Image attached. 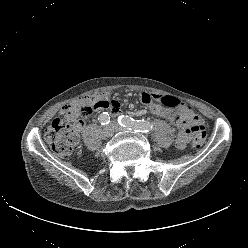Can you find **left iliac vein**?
I'll use <instances>...</instances> for the list:
<instances>
[{
	"label": "left iliac vein",
	"instance_id": "left-iliac-vein-1",
	"mask_svg": "<svg viewBox=\"0 0 248 248\" xmlns=\"http://www.w3.org/2000/svg\"><path fill=\"white\" fill-rule=\"evenodd\" d=\"M111 125L114 127V130L117 132V131H122V130H124V128L121 126V125H119L117 122H115V121H113L112 123H111Z\"/></svg>",
	"mask_w": 248,
	"mask_h": 248
}]
</instances>
